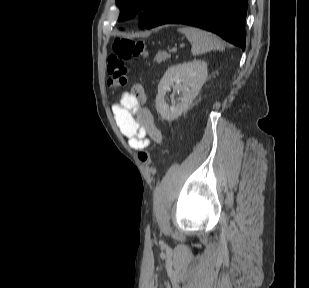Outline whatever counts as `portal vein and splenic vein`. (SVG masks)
Returning a JSON list of instances; mask_svg holds the SVG:
<instances>
[{
  "label": "portal vein and splenic vein",
  "mask_w": 309,
  "mask_h": 288,
  "mask_svg": "<svg viewBox=\"0 0 309 288\" xmlns=\"http://www.w3.org/2000/svg\"><path fill=\"white\" fill-rule=\"evenodd\" d=\"M171 52H172V53L177 52V48H176V47L172 48V49H171Z\"/></svg>",
  "instance_id": "obj_1"
}]
</instances>
